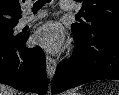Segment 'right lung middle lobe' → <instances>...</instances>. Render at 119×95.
Instances as JSON below:
<instances>
[{
    "instance_id": "obj_1",
    "label": "right lung middle lobe",
    "mask_w": 119,
    "mask_h": 95,
    "mask_svg": "<svg viewBox=\"0 0 119 95\" xmlns=\"http://www.w3.org/2000/svg\"><path fill=\"white\" fill-rule=\"evenodd\" d=\"M15 26L16 25L0 27V38L15 37L12 30Z\"/></svg>"
}]
</instances>
